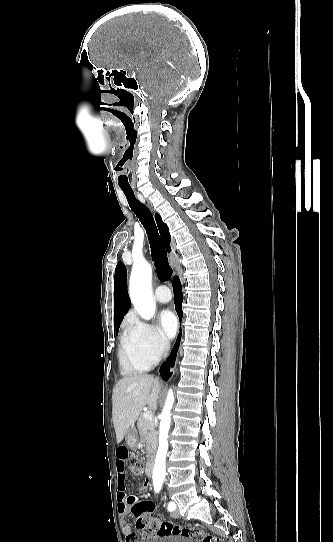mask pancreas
<instances>
[{
    "mask_svg": "<svg viewBox=\"0 0 333 542\" xmlns=\"http://www.w3.org/2000/svg\"><path fill=\"white\" fill-rule=\"evenodd\" d=\"M138 432L140 434V442L144 450L147 452L148 460H153L157 448V432L153 420H145L143 414L139 416L137 422Z\"/></svg>",
    "mask_w": 333,
    "mask_h": 542,
    "instance_id": "cf45deb5",
    "label": "pancreas"
}]
</instances>
